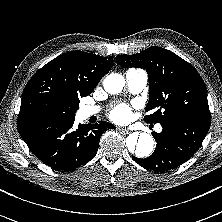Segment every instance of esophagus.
<instances>
[{"instance_id": "esophagus-1", "label": "esophagus", "mask_w": 222, "mask_h": 222, "mask_svg": "<svg viewBox=\"0 0 222 222\" xmlns=\"http://www.w3.org/2000/svg\"><path fill=\"white\" fill-rule=\"evenodd\" d=\"M117 130L123 134H128L130 132L129 129L124 128V127H118Z\"/></svg>"}]
</instances>
